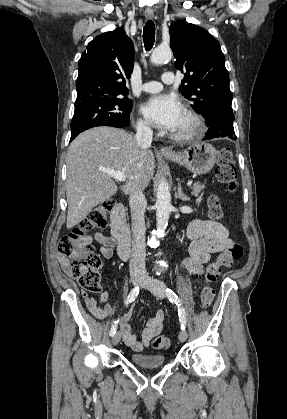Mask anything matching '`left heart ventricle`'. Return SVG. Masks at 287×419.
I'll list each match as a JSON object with an SVG mask.
<instances>
[{"label":"left heart ventricle","instance_id":"1","mask_svg":"<svg viewBox=\"0 0 287 419\" xmlns=\"http://www.w3.org/2000/svg\"><path fill=\"white\" fill-rule=\"evenodd\" d=\"M188 127H189V122H188L187 118L185 117V115L183 114V116L180 120V123L178 124V126L176 127L174 132H181Z\"/></svg>","mask_w":287,"mask_h":419}]
</instances>
